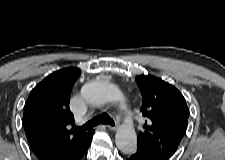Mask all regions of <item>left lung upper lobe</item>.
Instances as JSON below:
<instances>
[{
    "mask_svg": "<svg viewBox=\"0 0 225 160\" xmlns=\"http://www.w3.org/2000/svg\"><path fill=\"white\" fill-rule=\"evenodd\" d=\"M143 97L141 112L148 121L137 137L138 150L162 160L170 159L182 141L189 109L174 86L150 75L136 78Z\"/></svg>",
    "mask_w": 225,
    "mask_h": 160,
    "instance_id": "5c2ea615",
    "label": "left lung upper lobe"
}]
</instances>
